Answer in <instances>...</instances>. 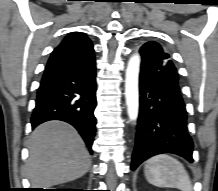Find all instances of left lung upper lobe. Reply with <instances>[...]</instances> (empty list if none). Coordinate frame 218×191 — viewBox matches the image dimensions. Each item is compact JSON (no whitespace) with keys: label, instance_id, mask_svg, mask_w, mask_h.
<instances>
[{"label":"left lung upper lobe","instance_id":"1","mask_svg":"<svg viewBox=\"0 0 218 191\" xmlns=\"http://www.w3.org/2000/svg\"><path fill=\"white\" fill-rule=\"evenodd\" d=\"M140 51L147 56L156 69H171L178 77L175 65L168 53H166L161 45L155 41L145 43Z\"/></svg>","mask_w":218,"mask_h":191}]
</instances>
